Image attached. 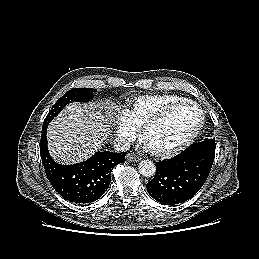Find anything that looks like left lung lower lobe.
Instances as JSON below:
<instances>
[{"mask_svg": "<svg viewBox=\"0 0 259 259\" xmlns=\"http://www.w3.org/2000/svg\"><path fill=\"white\" fill-rule=\"evenodd\" d=\"M214 157L215 149L196 143L171 159L156 162V174L146 186L148 193L164 205L185 202L205 183Z\"/></svg>", "mask_w": 259, "mask_h": 259, "instance_id": "obj_1", "label": "left lung lower lobe"}]
</instances>
